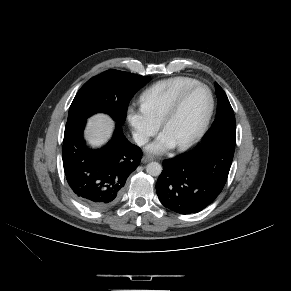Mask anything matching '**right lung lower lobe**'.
Here are the masks:
<instances>
[{"mask_svg":"<svg viewBox=\"0 0 291 291\" xmlns=\"http://www.w3.org/2000/svg\"><path fill=\"white\" fill-rule=\"evenodd\" d=\"M86 119L67 121L63 140V166L76 198L91 210H103L119 198L128 176L137 168L142 152L122 134L121 124L109 143L91 150L83 140Z\"/></svg>","mask_w":291,"mask_h":291,"instance_id":"obj_1","label":"right lung lower lobe"}]
</instances>
